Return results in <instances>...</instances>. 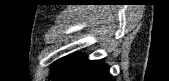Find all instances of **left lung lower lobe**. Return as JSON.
<instances>
[{"instance_id": "1", "label": "left lung lower lobe", "mask_w": 169, "mask_h": 81, "mask_svg": "<svg viewBox=\"0 0 169 81\" xmlns=\"http://www.w3.org/2000/svg\"><path fill=\"white\" fill-rule=\"evenodd\" d=\"M51 79L55 81H114L109 67L99 61H90L85 55H70L54 65Z\"/></svg>"}]
</instances>
